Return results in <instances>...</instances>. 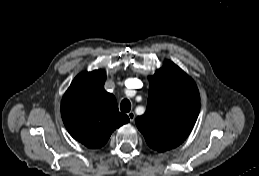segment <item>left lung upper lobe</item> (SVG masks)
<instances>
[{
	"label": "left lung upper lobe",
	"instance_id": "1",
	"mask_svg": "<svg viewBox=\"0 0 259 176\" xmlns=\"http://www.w3.org/2000/svg\"><path fill=\"white\" fill-rule=\"evenodd\" d=\"M149 82L147 110L136 118V125L149 147L163 152L190 134L200 111V96L195 82L168 60Z\"/></svg>",
	"mask_w": 259,
	"mask_h": 176
}]
</instances>
